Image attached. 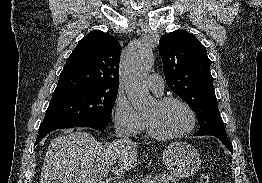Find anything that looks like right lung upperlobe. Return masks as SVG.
Instances as JSON below:
<instances>
[{
    "label": "right lung upper lobe",
    "mask_w": 262,
    "mask_h": 183,
    "mask_svg": "<svg viewBox=\"0 0 262 183\" xmlns=\"http://www.w3.org/2000/svg\"><path fill=\"white\" fill-rule=\"evenodd\" d=\"M121 46L111 35L95 30L70 54L54 92L74 89L118 90Z\"/></svg>",
    "instance_id": "obj_1"
}]
</instances>
